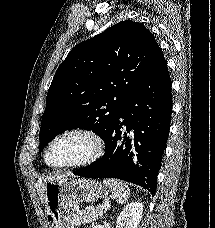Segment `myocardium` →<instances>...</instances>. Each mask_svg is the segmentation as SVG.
Segmentation results:
<instances>
[{"label":"myocardium","mask_w":215,"mask_h":228,"mask_svg":"<svg viewBox=\"0 0 215 228\" xmlns=\"http://www.w3.org/2000/svg\"><path fill=\"white\" fill-rule=\"evenodd\" d=\"M69 136H79L87 140L89 143V149L88 151L80 158H78L75 161H72L70 163L61 165V166H51L47 162V154L50 150V148L59 141L60 139H63L65 137ZM105 149V142L101 135L94 129L89 127H72L66 130L61 131L57 135H55L45 146L42 154L43 163L46 167H48L51 170L54 171H61L69 168H76L88 165L90 163H93L96 161L104 152Z\"/></svg>","instance_id":"obj_1"}]
</instances>
